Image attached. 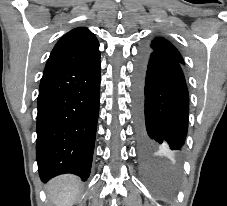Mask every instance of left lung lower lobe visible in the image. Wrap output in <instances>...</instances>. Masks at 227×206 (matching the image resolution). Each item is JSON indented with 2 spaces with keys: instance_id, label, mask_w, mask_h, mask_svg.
<instances>
[{
  "instance_id": "obj_1",
  "label": "left lung lower lobe",
  "mask_w": 227,
  "mask_h": 206,
  "mask_svg": "<svg viewBox=\"0 0 227 206\" xmlns=\"http://www.w3.org/2000/svg\"><path fill=\"white\" fill-rule=\"evenodd\" d=\"M135 135L143 152L179 156L188 129L189 96L180 63L143 50L134 73Z\"/></svg>"
}]
</instances>
